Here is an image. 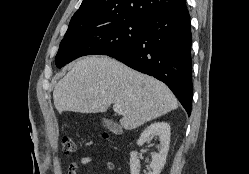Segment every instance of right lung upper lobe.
<instances>
[{
    "label": "right lung upper lobe",
    "instance_id": "obj_1",
    "mask_svg": "<svg viewBox=\"0 0 249 174\" xmlns=\"http://www.w3.org/2000/svg\"><path fill=\"white\" fill-rule=\"evenodd\" d=\"M186 8L185 0H83L68 30L106 24L118 19L148 18Z\"/></svg>",
    "mask_w": 249,
    "mask_h": 174
}]
</instances>
